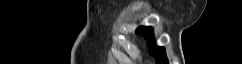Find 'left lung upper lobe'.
<instances>
[{"instance_id": "obj_1", "label": "left lung upper lobe", "mask_w": 242, "mask_h": 64, "mask_svg": "<svg viewBox=\"0 0 242 64\" xmlns=\"http://www.w3.org/2000/svg\"><path fill=\"white\" fill-rule=\"evenodd\" d=\"M136 32L140 33L147 39L149 52L154 56L156 64H169L164 47H157L154 42V33L152 27L141 26L137 28Z\"/></svg>"}]
</instances>
